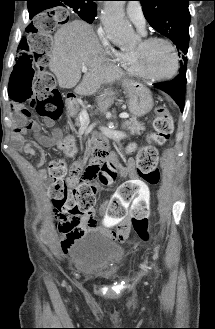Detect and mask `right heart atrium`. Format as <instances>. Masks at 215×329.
<instances>
[{
	"label": "right heart atrium",
	"instance_id": "d8ad5b80",
	"mask_svg": "<svg viewBox=\"0 0 215 329\" xmlns=\"http://www.w3.org/2000/svg\"><path fill=\"white\" fill-rule=\"evenodd\" d=\"M98 37L103 45L104 49L115 59H118L119 51H117L112 45L111 42L105 33V30L102 27H99L97 30Z\"/></svg>",
	"mask_w": 215,
	"mask_h": 329
}]
</instances>
